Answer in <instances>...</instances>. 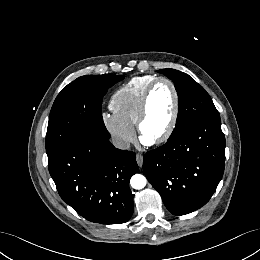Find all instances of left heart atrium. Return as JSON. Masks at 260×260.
<instances>
[{"instance_id":"obj_1","label":"left heart atrium","mask_w":260,"mask_h":260,"mask_svg":"<svg viewBox=\"0 0 260 260\" xmlns=\"http://www.w3.org/2000/svg\"><path fill=\"white\" fill-rule=\"evenodd\" d=\"M143 139H144L143 143H145V144H148L147 142L150 141V140H147L145 138H143Z\"/></svg>"}]
</instances>
